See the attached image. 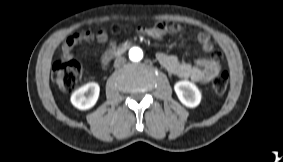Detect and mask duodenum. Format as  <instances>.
<instances>
[{"instance_id":"duodenum-1","label":"duodenum","mask_w":283,"mask_h":162,"mask_svg":"<svg viewBox=\"0 0 283 162\" xmlns=\"http://www.w3.org/2000/svg\"><path fill=\"white\" fill-rule=\"evenodd\" d=\"M127 48H128V44H123V45L117 47L114 51H112L111 55L112 56H119L122 53H124Z\"/></svg>"}]
</instances>
